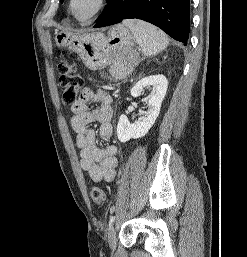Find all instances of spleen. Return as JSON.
Listing matches in <instances>:
<instances>
[{"label":"spleen","instance_id":"1","mask_svg":"<svg viewBox=\"0 0 247 257\" xmlns=\"http://www.w3.org/2000/svg\"><path fill=\"white\" fill-rule=\"evenodd\" d=\"M123 24L130 29L145 56L156 55L168 45L167 35L150 23L128 19Z\"/></svg>","mask_w":247,"mask_h":257}]
</instances>
